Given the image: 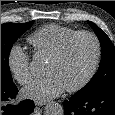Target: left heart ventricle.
I'll use <instances>...</instances> for the list:
<instances>
[{
    "instance_id": "1",
    "label": "left heart ventricle",
    "mask_w": 115,
    "mask_h": 115,
    "mask_svg": "<svg viewBox=\"0 0 115 115\" xmlns=\"http://www.w3.org/2000/svg\"><path fill=\"white\" fill-rule=\"evenodd\" d=\"M95 58V45L91 38L80 37L57 62L48 61L46 75L56 76L65 88L78 84L90 71Z\"/></svg>"
}]
</instances>
